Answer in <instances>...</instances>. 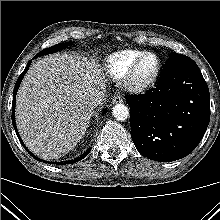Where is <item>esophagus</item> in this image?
Here are the masks:
<instances>
[{"label":"esophagus","instance_id":"34e87169","mask_svg":"<svg viewBox=\"0 0 220 220\" xmlns=\"http://www.w3.org/2000/svg\"><path fill=\"white\" fill-rule=\"evenodd\" d=\"M121 102H123V98L121 95H116L112 99L113 104H117V103H121Z\"/></svg>","mask_w":220,"mask_h":220}]
</instances>
